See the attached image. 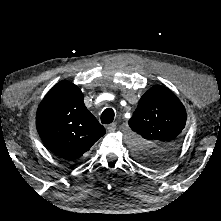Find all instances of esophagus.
<instances>
[{
  "mask_svg": "<svg viewBox=\"0 0 221 221\" xmlns=\"http://www.w3.org/2000/svg\"><path fill=\"white\" fill-rule=\"evenodd\" d=\"M116 127H117V123L116 122H113L112 124H110L108 127H107V130L108 132L112 133L116 130Z\"/></svg>",
  "mask_w": 221,
  "mask_h": 221,
  "instance_id": "34e87169",
  "label": "esophagus"
}]
</instances>
